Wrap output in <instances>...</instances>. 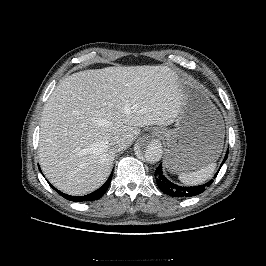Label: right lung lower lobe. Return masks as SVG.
Listing matches in <instances>:
<instances>
[{"instance_id": "obj_1", "label": "right lung lower lobe", "mask_w": 266, "mask_h": 266, "mask_svg": "<svg viewBox=\"0 0 266 266\" xmlns=\"http://www.w3.org/2000/svg\"><path fill=\"white\" fill-rule=\"evenodd\" d=\"M112 175H113V172L111 173V175L109 176V178L105 182V184L102 187H100L98 190H96V191H94L88 195L80 196V197L70 196V195L64 194V193L60 192L59 190H57L56 188H54L51 184L50 185L56 192H58L61 196H63L67 200H71L74 202L92 201V200L99 199L107 191V189L110 185L111 179H112Z\"/></svg>"}]
</instances>
